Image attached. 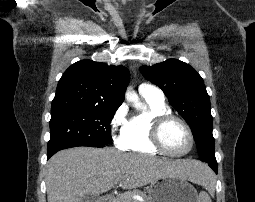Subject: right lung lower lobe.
Here are the masks:
<instances>
[{
	"label": "right lung lower lobe",
	"instance_id": "right-lung-lower-lobe-1",
	"mask_svg": "<svg viewBox=\"0 0 255 202\" xmlns=\"http://www.w3.org/2000/svg\"><path fill=\"white\" fill-rule=\"evenodd\" d=\"M53 155V153H48L47 158H50Z\"/></svg>",
	"mask_w": 255,
	"mask_h": 202
}]
</instances>
